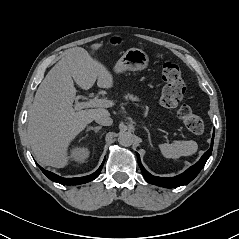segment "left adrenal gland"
I'll list each match as a JSON object with an SVG mask.
<instances>
[{
  "instance_id": "1",
  "label": "left adrenal gland",
  "mask_w": 239,
  "mask_h": 239,
  "mask_svg": "<svg viewBox=\"0 0 239 239\" xmlns=\"http://www.w3.org/2000/svg\"><path fill=\"white\" fill-rule=\"evenodd\" d=\"M143 128L146 130V132L148 134V141H149L150 146L153 147L149 130L145 126H143Z\"/></svg>"
}]
</instances>
